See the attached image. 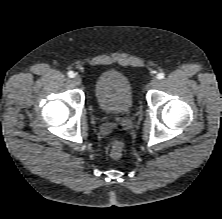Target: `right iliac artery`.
I'll return each mask as SVG.
<instances>
[{
  "label": "right iliac artery",
  "instance_id": "right-iliac-artery-1",
  "mask_svg": "<svg viewBox=\"0 0 222 219\" xmlns=\"http://www.w3.org/2000/svg\"><path fill=\"white\" fill-rule=\"evenodd\" d=\"M68 76H69L70 78H73V77L75 76V73H74L73 71H69V72H68Z\"/></svg>",
  "mask_w": 222,
  "mask_h": 219
}]
</instances>
